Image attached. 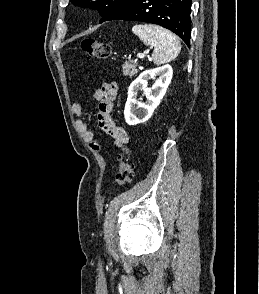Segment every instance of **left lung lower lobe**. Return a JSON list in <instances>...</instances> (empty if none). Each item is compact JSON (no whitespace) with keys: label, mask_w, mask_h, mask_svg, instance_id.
<instances>
[{"label":"left lung lower lobe","mask_w":259,"mask_h":294,"mask_svg":"<svg viewBox=\"0 0 259 294\" xmlns=\"http://www.w3.org/2000/svg\"><path fill=\"white\" fill-rule=\"evenodd\" d=\"M191 0H130L105 21L130 20L160 25L177 34L190 46Z\"/></svg>","instance_id":"0a47b994"}]
</instances>
